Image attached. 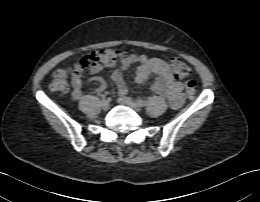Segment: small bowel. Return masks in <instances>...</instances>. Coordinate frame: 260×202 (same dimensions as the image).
Instances as JSON below:
<instances>
[{
    "mask_svg": "<svg viewBox=\"0 0 260 202\" xmlns=\"http://www.w3.org/2000/svg\"><path fill=\"white\" fill-rule=\"evenodd\" d=\"M139 64L136 70L135 82L141 84L151 75L156 77L150 86V91L165 97L173 108H179L183 102L182 91L184 85L175 79L169 65L161 58L147 57L146 55L129 54L122 57L120 65L112 74L117 93L120 96L127 94V86L123 79V72L130 69L133 65ZM101 70V66H95L89 72L79 73L73 76V93L75 99L82 95V83L84 79L96 85V91L102 92L106 88L105 82L94 74Z\"/></svg>",
    "mask_w": 260,
    "mask_h": 202,
    "instance_id": "obj_1",
    "label": "small bowel"
}]
</instances>
